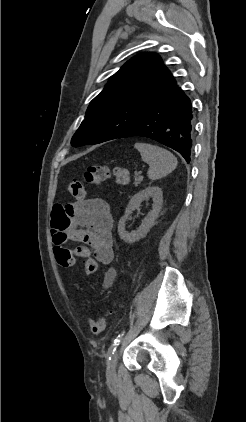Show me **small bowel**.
Listing matches in <instances>:
<instances>
[{
    "mask_svg": "<svg viewBox=\"0 0 246 422\" xmlns=\"http://www.w3.org/2000/svg\"><path fill=\"white\" fill-rule=\"evenodd\" d=\"M54 252L68 249L75 257L94 259L110 265L114 259L112 227L113 219L108 203L102 198L79 200L67 206H54L51 214ZM81 245L66 248L68 242ZM116 270L110 267L104 276L103 286L109 288L116 278Z\"/></svg>",
    "mask_w": 246,
    "mask_h": 422,
    "instance_id": "1",
    "label": "small bowel"
}]
</instances>
